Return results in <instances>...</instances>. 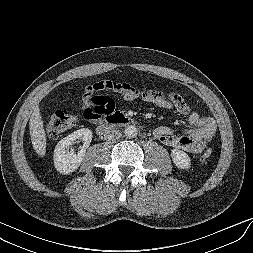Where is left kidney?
Wrapping results in <instances>:
<instances>
[{
  "label": "left kidney",
  "instance_id": "5707ae66",
  "mask_svg": "<svg viewBox=\"0 0 253 253\" xmlns=\"http://www.w3.org/2000/svg\"><path fill=\"white\" fill-rule=\"evenodd\" d=\"M171 157L173 163L180 169H190L191 159L190 157L182 150L173 149L171 152Z\"/></svg>",
  "mask_w": 253,
  "mask_h": 253
}]
</instances>
